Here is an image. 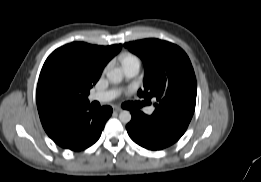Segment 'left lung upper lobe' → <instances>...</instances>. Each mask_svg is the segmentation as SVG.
<instances>
[{"mask_svg": "<svg viewBox=\"0 0 261 182\" xmlns=\"http://www.w3.org/2000/svg\"><path fill=\"white\" fill-rule=\"evenodd\" d=\"M145 65L144 89L138 96L157 100L152 116L189 123L196 104V77L187 54L177 45L144 39L125 43Z\"/></svg>", "mask_w": 261, "mask_h": 182, "instance_id": "obj_1", "label": "left lung upper lobe"}]
</instances>
